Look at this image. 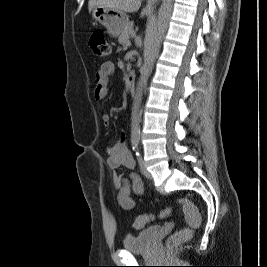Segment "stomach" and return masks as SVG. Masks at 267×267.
<instances>
[{
  "mask_svg": "<svg viewBox=\"0 0 267 267\" xmlns=\"http://www.w3.org/2000/svg\"><path fill=\"white\" fill-rule=\"evenodd\" d=\"M92 17L113 37H117L129 22L127 15L123 12L104 7H95L92 10Z\"/></svg>",
  "mask_w": 267,
  "mask_h": 267,
  "instance_id": "0dacf381",
  "label": "stomach"
}]
</instances>
